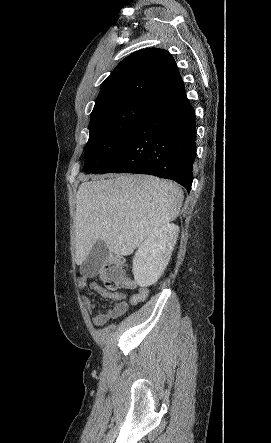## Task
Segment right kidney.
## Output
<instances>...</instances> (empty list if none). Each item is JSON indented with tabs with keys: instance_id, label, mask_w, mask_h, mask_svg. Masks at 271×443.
Instances as JSON below:
<instances>
[{
	"instance_id": "1",
	"label": "right kidney",
	"mask_w": 271,
	"mask_h": 443,
	"mask_svg": "<svg viewBox=\"0 0 271 443\" xmlns=\"http://www.w3.org/2000/svg\"><path fill=\"white\" fill-rule=\"evenodd\" d=\"M175 223H165L144 239L133 257V275L136 283L147 287L158 281L171 257L179 235Z\"/></svg>"
}]
</instances>
